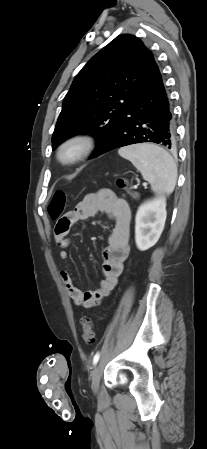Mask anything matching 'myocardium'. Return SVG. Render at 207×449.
Instances as JSON below:
<instances>
[{"mask_svg": "<svg viewBox=\"0 0 207 449\" xmlns=\"http://www.w3.org/2000/svg\"><path fill=\"white\" fill-rule=\"evenodd\" d=\"M95 149L92 135L84 132L75 133L63 140L56 151L58 162L70 166L88 158Z\"/></svg>", "mask_w": 207, "mask_h": 449, "instance_id": "1", "label": "myocardium"}]
</instances>
